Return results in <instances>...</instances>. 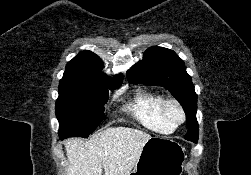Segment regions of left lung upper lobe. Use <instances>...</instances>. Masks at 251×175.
<instances>
[{
    "label": "left lung upper lobe",
    "mask_w": 251,
    "mask_h": 175,
    "mask_svg": "<svg viewBox=\"0 0 251 175\" xmlns=\"http://www.w3.org/2000/svg\"><path fill=\"white\" fill-rule=\"evenodd\" d=\"M127 78L134 84L165 87L186 113L188 131L184 138L195 143L198 141L197 94L183 60L174 51L162 47L147 49L143 59L128 70Z\"/></svg>",
    "instance_id": "1"
}]
</instances>
